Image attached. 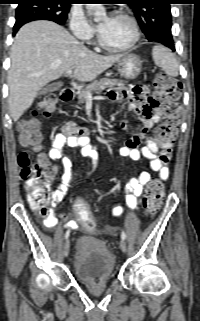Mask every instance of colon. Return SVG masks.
Masks as SVG:
<instances>
[{"mask_svg": "<svg viewBox=\"0 0 200 321\" xmlns=\"http://www.w3.org/2000/svg\"><path fill=\"white\" fill-rule=\"evenodd\" d=\"M180 93L181 86L175 79L164 73L156 75L153 96L156 100L163 102L165 111V120L157 127L156 135L166 157L171 156V147L175 141L179 125V105L176 101ZM55 107L56 98L52 95L45 97L39 104V109L45 117L51 116ZM20 127L23 145L32 146L35 150H38L40 142L39 122L36 119L25 120ZM18 164L32 210L41 217H47L51 210L47 205L49 187L44 179H47L51 173V167L41 155L33 159L26 151L19 153ZM163 197L164 187L162 183L158 180H152L147 186L142 201L145 215L153 216L156 214L162 204ZM85 202V196H77L70 210L75 212L76 222H81L87 231L92 232L95 230L96 224Z\"/></svg>", "mask_w": 200, "mask_h": 321, "instance_id": "obj_1", "label": "colon"}]
</instances>
